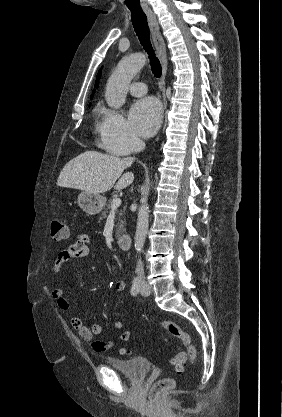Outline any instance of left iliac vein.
Here are the masks:
<instances>
[{
  "mask_svg": "<svg viewBox=\"0 0 282 417\" xmlns=\"http://www.w3.org/2000/svg\"><path fill=\"white\" fill-rule=\"evenodd\" d=\"M140 289L142 296H149L151 294V288L147 284H143Z\"/></svg>",
  "mask_w": 282,
  "mask_h": 417,
  "instance_id": "obj_1",
  "label": "left iliac vein"
}]
</instances>
